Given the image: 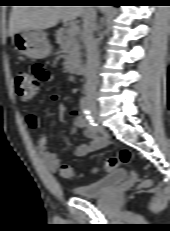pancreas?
Returning a JSON list of instances; mask_svg holds the SVG:
<instances>
[{
	"mask_svg": "<svg viewBox=\"0 0 170 231\" xmlns=\"http://www.w3.org/2000/svg\"><path fill=\"white\" fill-rule=\"evenodd\" d=\"M57 43L64 53V68L73 71L81 61V46L76 35H72L69 29H59L56 32Z\"/></svg>",
	"mask_w": 170,
	"mask_h": 231,
	"instance_id": "obj_1",
	"label": "pancreas"
}]
</instances>
